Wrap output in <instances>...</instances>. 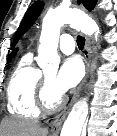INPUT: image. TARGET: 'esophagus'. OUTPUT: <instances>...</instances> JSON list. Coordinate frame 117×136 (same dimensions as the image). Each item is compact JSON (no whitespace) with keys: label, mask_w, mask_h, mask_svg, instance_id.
Instances as JSON below:
<instances>
[{"label":"esophagus","mask_w":117,"mask_h":136,"mask_svg":"<svg viewBox=\"0 0 117 136\" xmlns=\"http://www.w3.org/2000/svg\"><path fill=\"white\" fill-rule=\"evenodd\" d=\"M83 56H84V61H85V66H86L85 76H84L81 84L78 86V88L74 92L72 99H71L70 103L68 104V106L55 117V119L52 123V126H51V134L53 136H57L59 134L63 121L67 117L73 104L78 99V97L81 93V90L89 77L90 67H91V43H90L89 38H86Z\"/></svg>","instance_id":"esophagus-1"}]
</instances>
